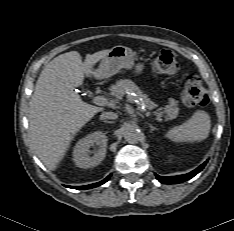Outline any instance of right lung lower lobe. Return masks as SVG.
Returning a JSON list of instances; mask_svg holds the SVG:
<instances>
[{"instance_id":"98d812e1","label":"right lung lower lobe","mask_w":234,"mask_h":231,"mask_svg":"<svg viewBox=\"0 0 234 231\" xmlns=\"http://www.w3.org/2000/svg\"><path fill=\"white\" fill-rule=\"evenodd\" d=\"M110 177H111V175L107 176L104 180H102L100 182L86 185V186H66V187L73 188V189H90V188H94V187H97V186L104 184L105 182H107L109 180Z\"/></svg>"}]
</instances>
